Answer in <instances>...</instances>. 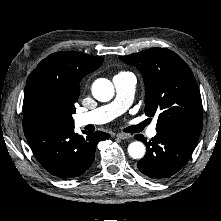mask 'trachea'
Returning a JSON list of instances; mask_svg holds the SVG:
<instances>
[{
    "mask_svg": "<svg viewBox=\"0 0 221 221\" xmlns=\"http://www.w3.org/2000/svg\"><path fill=\"white\" fill-rule=\"evenodd\" d=\"M144 126H145V124H141V125H138V126H134V127H132L131 130L128 131V132H132V133L139 132Z\"/></svg>",
    "mask_w": 221,
    "mask_h": 221,
    "instance_id": "trachea-1",
    "label": "trachea"
}]
</instances>
